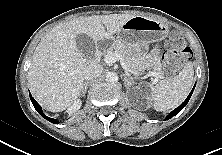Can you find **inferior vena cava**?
Listing matches in <instances>:
<instances>
[{"label": "inferior vena cava", "instance_id": "1", "mask_svg": "<svg viewBox=\"0 0 222 155\" xmlns=\"http://www.w3.org/2000/svg\"><path fill=\"white\" fill-rule=\"evenodd\" d=\"M103 72V67L99 64L92 63L86 67L84 70V78L86 80H91L101 75Z\"/></svg>", "mask_w": 222, "mask_h": 155}]
</instances>
